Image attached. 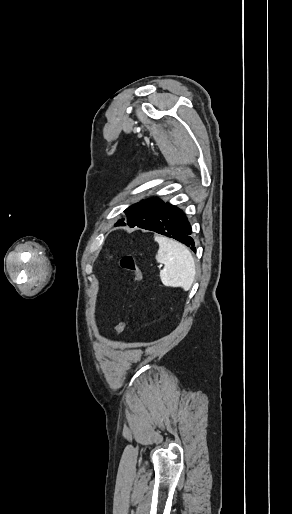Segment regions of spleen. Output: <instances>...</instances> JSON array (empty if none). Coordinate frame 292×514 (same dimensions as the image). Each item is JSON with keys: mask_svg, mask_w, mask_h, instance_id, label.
Masks as SVG:
<instances>
[{"mask_svg": "<svg viewBox=\"0 0 292 514\" xmlns=\"http://www.w3.org/2000/svg\"><path fill=\"white\" fill-rule=\"evenodd\" d=\"M155 242L159 244L156 260L159 264H164L160 272L162 284L170 288L190 290L196 274L191 252L183 244L163 236H155Z\"/></svg>", "mask_w": 292, "mask_h": 514, "instance_id": "obj_1", "label": "spleen"}]
</instances>
